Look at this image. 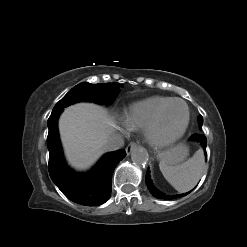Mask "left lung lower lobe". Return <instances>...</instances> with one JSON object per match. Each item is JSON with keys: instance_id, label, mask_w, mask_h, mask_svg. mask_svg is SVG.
Masks as SVG:
<instances>
[{"instance_id": "obj_1", "label": "left lung lower lobe", "mask_w": 247, "mask_h": 247, "mask_svg": "<svg viewBox=\"0 0 247 247\" xmlns=\"http://www.w3.org/2000/svg\"><path fill=\"white\" fill-rule=\"evenodd\" d=\"M190 138L191 139H194V140H196V141H198V142L201 143V145L203 146V149L205 151V155H206V146H207V139H206V137L204 135H202V134L195 133ZM145 179H146V183L148 185V189H149L150 193L154 197H156L158 199H166V200L176 199V198L185 196V195L189 194L192 191L191 190V191H189L187 193H183V194H180V195H174V196L165 195V194L161 193L159 190H157L155 188V186L153 185L152 180H151V177H150V171L149 170L147 171V174H146V178Z\"/></svg>"}]
</instances>
